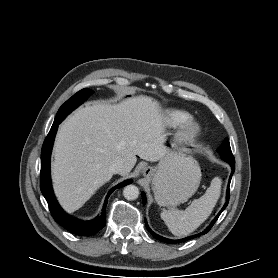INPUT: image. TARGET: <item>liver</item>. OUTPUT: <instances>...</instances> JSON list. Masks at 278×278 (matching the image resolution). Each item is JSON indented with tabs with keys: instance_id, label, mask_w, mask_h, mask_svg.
Masks as SVG:
<instances>
[{
	"instance_id": "obj_1",
	"label": "liver",
	"mask_w": 278,
	"mask_h": 278,
	"mask_svg": "<svg viewBox=\"0 0 278 278\" xmlns=\"http://www.w3.org/2000/svg\"><path fill=\"white\" fill-rule=\"evenodd\" d=\"M164 130L162 109L148 96L78 109L61 124L54 145L52 180L61 206L68 212L81 208L112 178L109 166L117 158L125 164L122 176L135 166L136 155L161 159L167 152Z\"/></svg>"
}]
</instances>
